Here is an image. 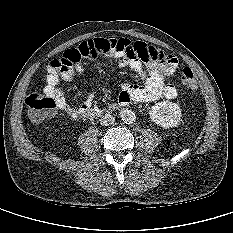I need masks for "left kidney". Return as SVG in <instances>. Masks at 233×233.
I'll return each instance as SVG.
<instances>
[{
    "mask_svg": "<svg viewBox=\"0 0 233 233\" xmlns=\"http://www.w3.org/2000/svg\"><path fill=\"white\" fill-rule=\"evenodd\" d=\"M151 120L164 128H173L179 125L181 109L173 102H158L149 111Z\"/></svg>",
    "mask_w": 233,
    "mask_h": 233,
    "instance_id": "1",
    "label": "left kidney"
}]
</instances>
